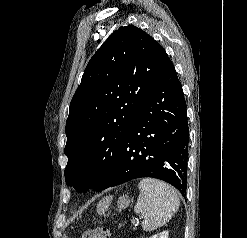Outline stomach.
Returning a JSON list of instances; mask_svg holds the SVG:
<instances>
[{"label": "stomach", "mask_w": 247, "mask_h": 238, "mask_svg": "<svg viewBox=\"0 0 247 238\" xmlns=\"http://www.w3.org/2000/svg\"><path fill=\"white\" fill-rule=\"evenodd\" d=\"M129 203H130V199L127 195L120 197L117 201V205L120 210L128 207Z\"/></svg>", "instance_id": "stomach-1"}]
</instances>
